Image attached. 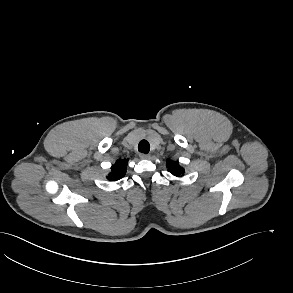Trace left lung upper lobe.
Masks as SVG:
<instances>
[{"mask_svg": "<svg viewBox=\"0 0 293 293\" xmlns=\"http://www.w3.org/2000/svg\"><path fill=\"white\" fill-rule=\"evenodd\" d=\"M166 166L174 176H181L184 173V169L177 161L167 160Z\"/></svg>", "mask_w": 293, "mask_h": 293, "instance_id": "left-lung-upper-lobe-1", "label": "left lung upper lobe"}]
</instances>
